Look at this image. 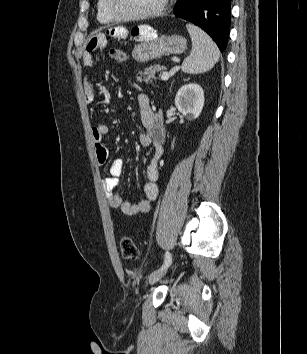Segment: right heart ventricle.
<instances>
[{"label": "right heart ventricle", "instance_id": "right-heart-ventricle-1", "mask_svg": "<svg viewBox=\"0 0 307 354\" xmlns=\"http://www.w3.org/2000/svg\"><path fill=\"white\" fill-rule=\"evenodd\" d=\"M97 19L101 23H111L115 19L109 14L106 7V0L97 1Z\"/></svg>", "mask_w": 307, "mask_h": 354}]
</instances>
